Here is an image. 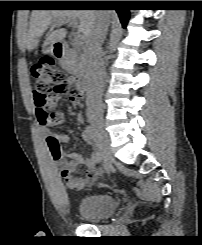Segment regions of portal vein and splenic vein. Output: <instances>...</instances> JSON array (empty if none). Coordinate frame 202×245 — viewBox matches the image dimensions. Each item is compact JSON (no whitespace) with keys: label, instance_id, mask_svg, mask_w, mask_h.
Returning a JSON list of instances; mask_svg holds the SVG:
<instances>
[{"label":"portal vein and splenic vein","instance_id":"portal-vein-and-splenic-vein-1","mask_svg":"<svg viewBox=\"0 0 202 245\" xmlns=\"http://www.w3.org/2000/svg\"><path fill=\"white\" fill-rule=\"evenodd\" d=\"M70 24L73 28L77 27V21L76 19H66V20H61L55 23V26H61L64 24ZM84 37L81 34H76L74 37V42L78 45L83 44Z\"/></svg>","mask_w":202,"mask_h":245}]
</instances>
